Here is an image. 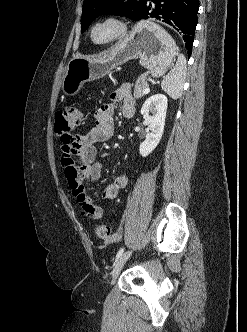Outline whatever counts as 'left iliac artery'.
Returning a JSON list of instances; mask_svg holds the SVG:
<instances>
[{
  "instance_id": "1",
  "label": "left iliac artery",
  "mask_w": 247,
  "mask_h": 332,
  "mask_svg": "<svg viewBox=\"0 0 247 332\" xmlns=\"http://www.w3.org/2000/svg\"><path fill=\"white\" fill-rule=\"evenodd\" d=\"M123 252H124V247H122L119 251H118V253H117V255H116V260L123 254Z\"/></svg>"
}]
</instances>
